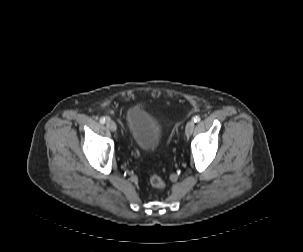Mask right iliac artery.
Segmentation results:
<instances>
[{"mask_svg":"<svg viewBox=\"0 0 303 252\" xmlns=\"http://www.w3.org/2000/svg\"><path fill=\"white\" fill-rule=\"evenodd\" d=\"M106 122V119L105 118H100V123L101 124H104Z\"/></svg>","mask_w":303,"mask_h":252,"instance_id":"right-iliac-artery-1","label":"right iliac artery"}]
</instances>
